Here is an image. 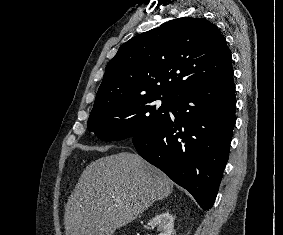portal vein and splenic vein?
<instances>
[{
  "label": "portal vein and splenic vein",
  "mask_w": 283,
  "mask_h": 235,
  "mask_svg": "<svg viewBox=\"0 0 283 235\" xmlns=\"http://www.w3.org/2000/svg\"><path fill=\"white\" fill-rule=\"evenodd\" d=\"M115 201H116V202H119V200H118V199H115Z\"/></svg>",
  "instance_id": "1"
}]
</instances>
